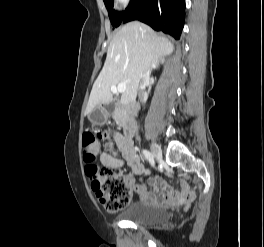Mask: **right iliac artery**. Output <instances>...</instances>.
Instances as JSON below:
<instances>
[{"label": "right iliac artery", "mask_w": 264, "mask_h": 247, "mask_svg": "<svg viewBox=\"0 0 264 247\" xmlns=\"http://www.w3.org/2000/svg\"><path fill=\"white\" fill-rule=\"evenodd\" d=\"M143 155L145 156V158L149 161V163L151 164L152 167H154L155 162H154V157L153 155L148 151V150H143Z\"/></svg>", "instance_id": "1"}]
</instances>
